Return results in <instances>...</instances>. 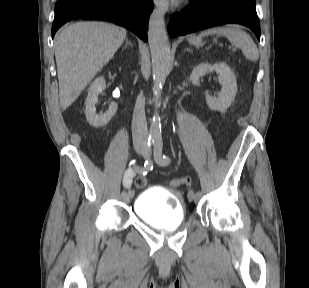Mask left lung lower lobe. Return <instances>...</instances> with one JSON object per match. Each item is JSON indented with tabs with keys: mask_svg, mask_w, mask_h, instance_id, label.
I'll return each mask as SVG.
<instances>
[{
	"mask_svg": "<svg viewBox=\"0 0 309 288\" xmlns=\"http://www.w3.org/2000/svg\"><path fill=\"white\" fill-rule=\"evenodd\" d=\"M227 23L249 27L260 40L255 0H190L187 9L173 14L168 32L174 37Z\"/></svg>",
	"mask_w": 309,
	"mask_h": 288,
	"instance_id": "0a47b994",
	"label": "left lung lower lobe"
}]
</instances>
